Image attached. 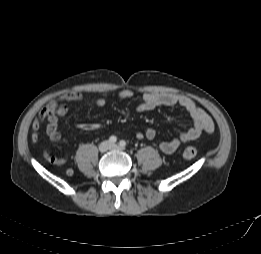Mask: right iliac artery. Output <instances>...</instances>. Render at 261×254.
<instances>
[{"mask_svg":"<svg viewBox=\"0 0 261 254\" xmlns=\"http://www.w3.org/2000/svg\"><path fill=\"white\" fill-rule=\"evenodd\" d=\"M117 141V138L115 137V136H111L110 138H109V142L110 143H115Z\"/></svg>","mask_w":261,"mask_h":254,"instance_id":"1","label":"right iliac artery"}]
</instances>
